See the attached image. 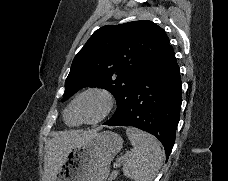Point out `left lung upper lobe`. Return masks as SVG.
Masks as SVG:
<instances>
[{
  "label": "left lung upper lobe",
  "mask_w": 228,
  "mask_h": 181,
  "mask_svg": "<svg viewBox=\"0 0 228 181\" xmlns=\"http://www.w3.org/2000/svg\"><path fill=\"white\" fill-rule=\"evenodd\" d=\"M168 45L165 31L151 21L101 27L75 56L62 101L83 87L104 88L117 100L116 112L105 123L119 121L138 77Z\"/></svg>",
  "instance_id": "left-lung-upper-lobe-1"
}]
</instances>
